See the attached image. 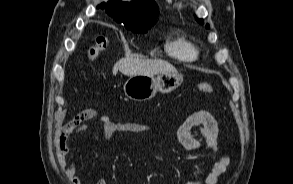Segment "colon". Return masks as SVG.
I'll return each instance as SVG.
<instances>
[{
  "mask_svg": "<svg viewBox=\"0 0 293 184\" xmlns=\"http://www.w3.org/2000/svg\"><path fill=\"white\" fill-rule=\"evenodd\" d=\"M109 47V39L104 35L96 36L92 44L88 49V65L89 67L98 59L100 54L107 50ZM197 90L201 93L210 94L214 92V88L211 84L206 82L198 83ZM60 149L63 150V146L60 144Z\"/></svg>",
  "mask_w": 293,
  "mask_h": 184,
  "instance_id": "obj_1",
  "label": "colon"
}]
</instances>
